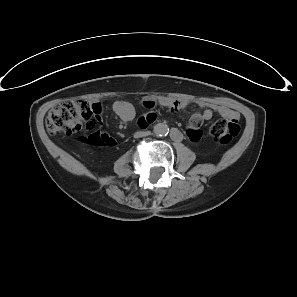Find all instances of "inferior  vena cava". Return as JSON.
<instances>
[{"label":"inferior vena cava","instance_id":"602c4592","mask_svg":"<svg viewBox=\"0 0 297 297\" xmlns=\"http://www.w3.org/2000/svg\"><path fill=\"white\" fill-rule=\"evenodd\" d=\"M150 135L149 131H138L134 134L135 138H140V137H144V136H148Z\"/></svg>","mask_w":297,"mask_h":297}]
</instances>
